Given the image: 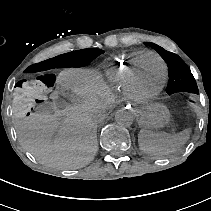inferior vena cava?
<instances>
[{"label": "inferior vena cava", "instance_id": "inferior-vena-cava-1", "mask_svg": "<svg viewBox=\"0 0 211 211\" xmlns=\"http://www.w3.org/2000/svg\"><path fill=\"white\" fill-rule=\"evenodd\" d=\"M101 119V116L100 117H98V121Z\"/></svg>", "mask_w": 211, "mask_h": 211}]
</instances>
